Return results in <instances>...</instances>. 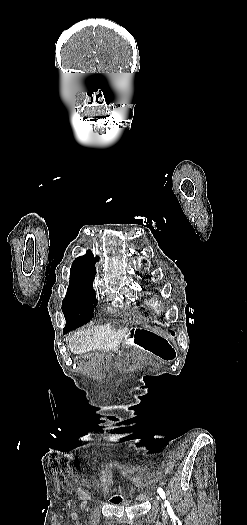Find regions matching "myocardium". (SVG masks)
I'll return each instance as SVG.
<instances>
[{
    "label": "myocardium",
    "instance_id": "obj_1",
    "mask_svg": "<svg viewBox=\"0 0 247 525\" xmlns=\"http://www.w3.org/2000/svg\"><path fill=\"white\" fill-rule=\"evenodd\" d=\"M150 308L155 312H160L163 308V303L159 297L150 298Z\"/></svg>",
    "mask_w": 247,
    "mask_h": 525
}]
</instances>
